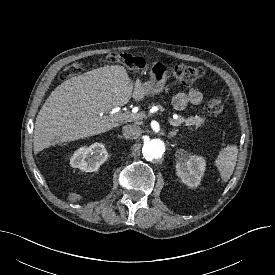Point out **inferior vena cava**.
<instances>
[{"instance_id":"obj_1","label":"inferior vena cava","mask_w":275,"mask_h":275,"mask_svg":"<svg viewBox=\"0 0 275 275\" xmlns=\"http://www.w3.org/2000/svg\"><path fill=\"white\" fill-rule=\"evenodd\" d=\"M122 134L127 139H137L141 135V128L137 125L128 124L123 126Z\"/></svg>"}]
</instances>
